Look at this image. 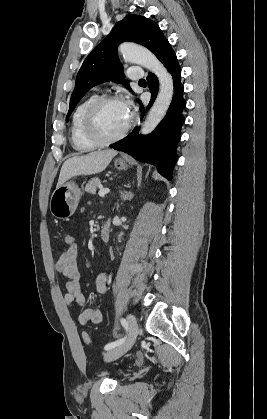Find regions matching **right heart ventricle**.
<instances>
[{"instance_id":"1","label":"right heart ventricle","mask_w":267,"mask_h":419,"mask_svg":"<svg viewBox=\"0 0 267 419\" xmlns=\"http://www.w3.org/2000/svg\"><path fill=\"white\" fill-rule=\"evenodd\" d=\"M98 97L93 93L83 99L75 108L71 118V143L73 148L80 153L95 150L99 145L90 141L83 132V116L89 104Z\"/></svg>"}]
</instances>
